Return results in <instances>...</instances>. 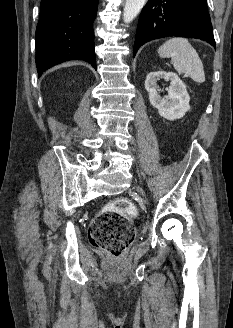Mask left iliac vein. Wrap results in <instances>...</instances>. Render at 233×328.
<instances>
[{
    "label": "left iliac vein",
    "instance_id": "1",
    "mask_svg": "<svg viewBox=\"0 0 233 328\" xmlns=\"http://www.w3.org/2000/svg\"><path fill=\"white\" fill-rule=\"evenodd\" d=\"M137 190H138V192H139L141 195L144 196V192H143V190H142L141 188H137Z\"/></svg>",
    "mask_w": 233,
    "mask_h": 328
}]
</instances>
